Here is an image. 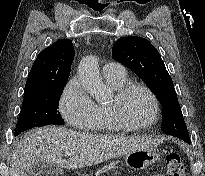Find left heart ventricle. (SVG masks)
I'll list each match as a JSON object with an SVG mask.
<instances>
[{
  "label": "left heart ventricle",
  "instance_id": "left-heart-ventricle-1",
  "mask_svg": "<svg viewBox=\"0 0 205 176\" xmlns=\"http://www.w3.org/2000/svg\"><path fill=\"white\" fill-rule=\"evenodd\" d=\"M113 100L111 101V103ZM124 114L133 123L147 122L153 113V105L148 95L135 90L123 102Z\"/></svg>",
  "mask_w": 205,
  "mask_h": 176
}]
</instances>
